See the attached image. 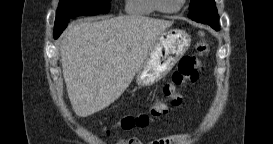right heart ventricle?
Listing matches in <instances>:
<instances>
[{"mask_svg": "<svg viewBox=\"0 0 273 144\" xmlns=\"http://www.w3.org/2000/svg\"><path fill=\"white\" fill-rule=\"evenodd\" d=\"M126 11L133 16L146 17L154 14L156 9L153 0H128Z\"/></svg>", "mask_w": 273, "mask_h": 144, "instance_id": "right-heart-ventricle-1", "label": "right heart ventricle"}]
</instances>
